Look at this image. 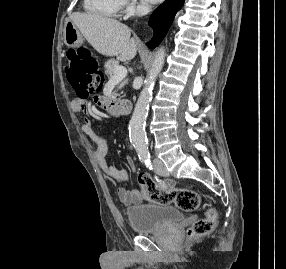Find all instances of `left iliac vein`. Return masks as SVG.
Wrapping results in <instances>:
<instances>
[{
    "label": "left iliac vein",
    "mask_w": 286,
    "mask_h": 269,
    "mask_svg": "<svg viewBox=\"0 0 286 269\" xmlns=\"http://www.w3.org/2000/svg\"><path fill=\"white\" fill-rule=\"evenodd\" d=\"M154 163H155V170L158 174L162 176L168 175V171L160 159L156 158L154 160Z\"/></svg>",
    "instance_id": "left-iliac-vein-1"
}]
</instances>
